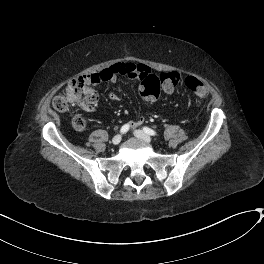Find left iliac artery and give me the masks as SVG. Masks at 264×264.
<instances>
[{
    "label": "left iliac artery",
    "instance_id": "obj_1",
    "mask_svg": "<svg viewBox=\"0 0 264 264\" xmlns=\"http://www.w3.org/2000/svg\"><path fill=\"white\" fill-rule=\"evenodd\" d=\"M143 130L145 131V133H147V134H149L151 136H155L157 134L154 130H152V129L148 128V127H144Z\"/></svg>",
    "mask_w": 264,
    "mask_h": 264
}]
</instances>
